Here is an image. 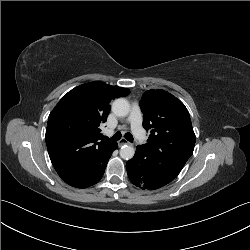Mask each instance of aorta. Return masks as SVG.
I'll use <instances>...</instances> for the list:
<instances>
[{"mask_svg":"<svg viewBox=\"0 0 250 250\" xmlns=\"http://www.w3.org/2000/svg\"><path fill=\"white\" fill-rule=\"evenodd\" d=\"M112 112L119 117H125L130 112V104L124 98H118L112 103ZM135 154L134 147L124 145L120 149V157L125 160L132 159Z\"/></svg>","mask_w":250,"mask_h":250,"instance_id":"aorta-1","label":"aorta"}]
</instances>
